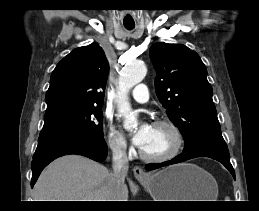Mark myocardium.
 <instances>
[{
	"instance_id": "1",
	"label": "myocardium",
	"mask_w": 259,
	"mask_h": 211,
	"mask_svg": "<svg viewBox=\"0 0 259 211\" xmlns=\"http://www.w3.org/2000/svg\"><path fill=\"white\" fill-rule=\"evenodd\" d=\"M152 126L168 129L172 135V146L167 152L160 155L147 154L140 148V157L147 162H166L176 157L183 146V135L179 127L174 122L167 119L157 120Z\"/></svg>"
}]
</instances>
